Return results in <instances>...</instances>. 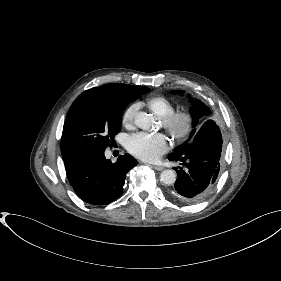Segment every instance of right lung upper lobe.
Instances as JSON below:
<instances>
[{"instance_id":"1","label":"right lung upper lobe","mask_w":281,"mask_h":281,"mask_svg":"<svg viewBox=\"0 0 281 281\" xmlns=\"http://www.w3.org/2000/svg\"><path fill=\"white\" fill-rule=\"evenodd\" d=\"M141 86H133L127 84H106L101 87L92 88L108 97L126 98L133 96Z\"/></svg>"}]
</instances>
